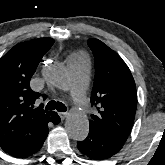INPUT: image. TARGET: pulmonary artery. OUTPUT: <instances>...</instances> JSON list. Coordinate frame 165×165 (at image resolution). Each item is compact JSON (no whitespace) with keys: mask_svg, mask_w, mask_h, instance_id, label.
<instances>
[{"mask_svg":"<svg viewBox=\"0 0 165 165\" xmlns=\"http://www.w3.org/2000/svg\"><path fill=\"white\" fill-rule=\"evenodd\" d=\"M67 66L70 71V83L72 94L78 103L86 105L84 98V87L88 77V61L82 55H72L67 60Z\"/></svg>","mask_w":165,"mask_h":165,"instance_id":"e3ab8cb5","label":"pulmonary artery"}]
</instances>
